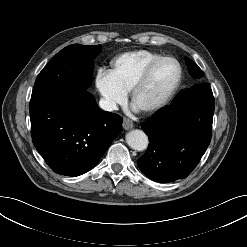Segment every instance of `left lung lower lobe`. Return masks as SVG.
Returning a JSON list of instances; mask_svg holds the SVG:
<instances>
[{
	"instance_id": "0a47b994",
	"label": "left lung lower lobe",
	"mask_w": 247,
	"mask_h": 247,
	"mask_svg": "<svg viewBox=\"0 0 247 247\" xmlns=\"http://www.w3.org/2000/svg\"><path fill=\"white\" fill-rule=\"evenodd\" d=\"M213 114L208 83L191 87L158 110L142 124L150 143L137 160L140 170L160 183L186 178L210 144Z\"/></svg>"
}]
</instances>
